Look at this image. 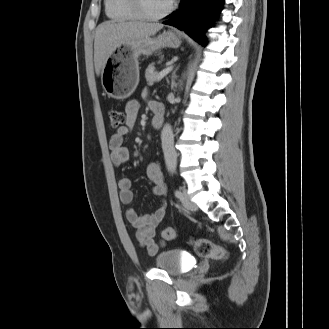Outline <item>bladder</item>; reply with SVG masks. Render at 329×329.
<instances>
[{
	"label": "bladder",
	"mask_w": 329,
	"mask_h": 329,
	"mask_svg": "<svg viewBox=\"0 0 329 329\" xmlns=\"http://www.w3.org/2000/svg\"><path fill=\"white\" fill-rule=\"evenodd\" d=\"M154 263L157 269L172 275H182L186 271V261L180 250L161 251L157 254Z\"/></svg>",
	"instance_id": "obj_1"
}]
</instances>
